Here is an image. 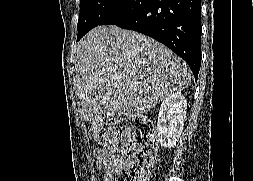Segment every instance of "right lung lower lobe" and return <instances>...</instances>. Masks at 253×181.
I'll return each mask as SVG.
<instances>
[{
    "mask_svg": "<svg viewBox=\"0 0 253 181\" xmlns=\"http://www.w3.org/2000/svg\"><path fill=\"white\" fill-rule=\"evenodd\" d=\"M106 24L163 43L188 63L197 79L201 65V0H128L101 25Z\"/></svg>",
    "mask_w": 253,
    "mask_h": 181,
    "instance_id": "98d812e1",
    "label": "right lung lower lobe"
}]
</instances>
